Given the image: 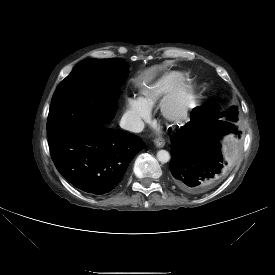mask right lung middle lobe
Instances as JSON below:
<instances>
[{"label": "right lung middle lobe", "instance_id": "right-lung-middle-lobe-1", "mask_svg": "<svg viewBox=\"0 0 275 275\" xmlns=\"http://www.w3.org/2000/svg\"><path fill=\"white\" fill-rule=\"evenodd\" d=\"M128 64L118 59H86L58 85L47 121L48 135L91 122L106 124L115 115L119 95L111 87Z\"/></svg>", "mask_w": 275, "mask_h": 275}]
</instances>
